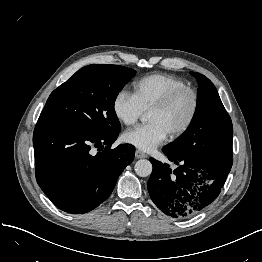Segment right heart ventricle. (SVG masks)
I'll list each match as a JSON object with an SVG mask.
<instances>
[{
    "label": "right heart ventricle",
    "mask_w": 262,
    "mask_h": 262,
    "mask_svg": "<svg viewBox=\"0 0 262 262\" xmlns=\"http://www.w3.org/2000/svg\"><path fill=\"white\" fill-rule=\"evenodd\" d=\"M186 86L181 78L165 73H156L140 79L133 88V94L142 107L148 111L150 107L169 92Z\"/></svg>",
    "instance_id": "obj_1"
}]
</instances>
